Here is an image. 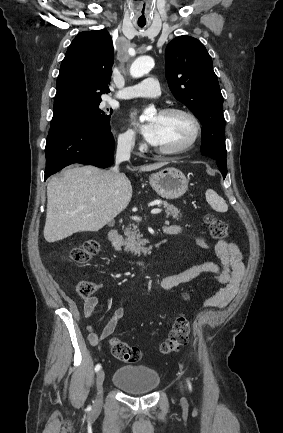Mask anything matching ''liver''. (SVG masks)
<instances>
[{
  "mask_svg": "<svg viewBox=\"0 0 283 433\" xmlns=\"http://www.w3.org/2000/svg\"><path fill=\"white\" fill-rule=\"evenodd\" d=\"M163 164L167 162L145 164L139 170H155ZM131 196L132 184L123 172L116 178L113 170L96 166L68 168L62 178L52 176L47 184L44 239L55 243L81 231L97 233L128 206Z\"/></svg>",
  "mask_w": 283,
  "mask_h": 433,
  "instance_id": "obj_1",
  "label": "liver"
}]
</instances>
